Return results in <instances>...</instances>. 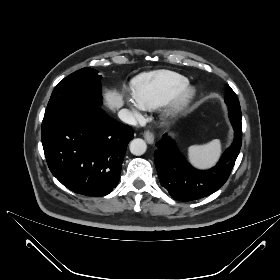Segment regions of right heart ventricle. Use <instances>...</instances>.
I'll return each instance as SVG.
<instances>
[{
	"label": "right heart ventricle",
	"instance_id": "right-heart-ventricle-1",
	"mask_svg": "<svg viewBox=\"0 0 280 280\" xmlns=\"http://www.w3.org/2000/svg\"><path fill=\"white\" fill-rule=\"evenodd\" d=\"M188 85L184 75L170 70H156L133 80L134 96L145 109H156Z\"/></svg>",
	"mask_w": 280,
	"mask_h": 280
}]
</instances>
